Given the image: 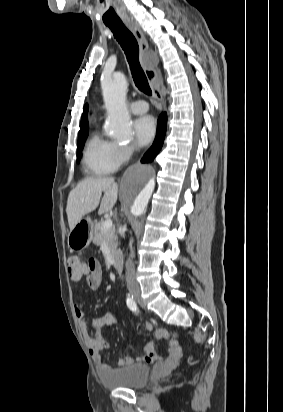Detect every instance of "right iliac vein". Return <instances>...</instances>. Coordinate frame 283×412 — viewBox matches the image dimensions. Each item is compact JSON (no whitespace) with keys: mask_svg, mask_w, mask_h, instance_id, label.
Here are the masks:
<instances>
[{"mask_svg":"<svg viewBox=\"0 0 283 412\" xmlns=\"http://www.w3.org/2000/svg\"><path fill=\"white\" fill-rule=\"evenodd\" d=\"M129 292L138 302L141 303V294L139 288H132L129 290Z\"/></svg>","mask_w":283,"mask_h":412,"instance_id":"right-iliac-vein-1","label":"right iliac vein"}]
</instances>
